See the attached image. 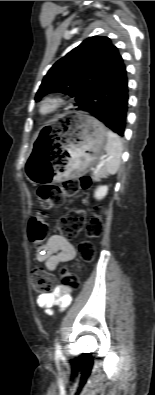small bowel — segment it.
<instances>
[{
  "mask_svg": "<svg viewBox=\"0 0 155 395\" xmlns=\"http://www.w3.org/2000/svg\"><path fill=\"white\" fill-rule=\"evenodd\" d=\"M76 256L74 245L62 235H52L46 243L40 246L35 258L37 262L44 263L48 270H55L59 264L73 260ZM71 303V289L57 286L53 291L40 294L37 297V305L52 313L55 306L65 309Z\"/></svg>",
  "mask_w": 155,
  "mask_h": 395,
  "instance_id": "1",
  "label": "small bowel"
}]
</instances>
